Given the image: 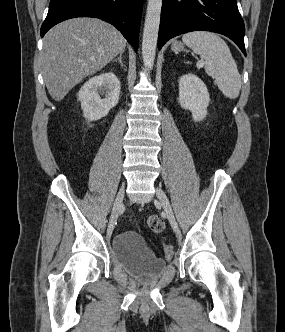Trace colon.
<instances>
[{"label":"colon","instance_id":"1","mask_svg":"<svg viewBox=\"0 0 285 332\" xmlns=\"http://www.w3.org/2000/svg\"><path fill=\"white\" fill-rule=\"evenodd\" d=\"M148 226L154 233H161L164 229V222L158 216H150L148 219ZM174 251L172 246L166 245L164 247V257L170 260L173 257Z\"/></svg>","mask_w":285,"mask_h":332}]
</instances>
